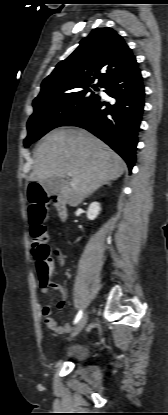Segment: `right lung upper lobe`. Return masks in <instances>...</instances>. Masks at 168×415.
<instances>
[{
    "mask_svg": "<svg viewBox=\"0 0 168 415\" xmlns=\"http://www.w3.org/2000/svg\"><path fill=\"white\" fill-rule=\"evenodd\" d=\"M136 63L131 49L116 31L96 28L44 79L33 106L89 87H104ZM95 79L99 81L92 85Z\"/></svg>",
    "mask_w": 168,
    "mask_h": 415,
    "instance_id": "obj_1",
    "label": "right lung upper lobe"
}]
</instances>
